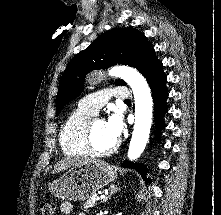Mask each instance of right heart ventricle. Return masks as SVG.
<instances>
[{"mask_svg": "<svg viewBox=\"0 0 221 215\" xmlns=\"http://www.w3.org/2000/svg\"><path fill=\"white\" fill-rule=\"evenodd\" d=\"M93 113L78 107L66 119L61 127L59 142L63 152L70 156H86L84 144L85 129L90 116Z\"/></svg>", "mask_w": 221, "mask_h": 215, "instance_id": "e07e8e85", "label": "right heart ventricle"}]
</instances>
